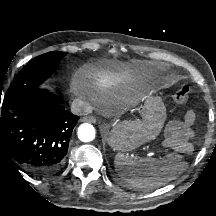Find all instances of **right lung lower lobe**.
Instances as JSON below:
<instances>
[{"mask_svg":"<svg viewBox=\"0 0 216 216\" xmlns=\"http://www.w3.org/2000/svg\"><path fill=\"white\" fill-rule=\"evenodd\" d=\"M78 120L47 90L17 97L2 105L0 156L36 177L55 174L63 166Z\"/></svg>","mask_w":216,"mask_h":216,"instance_id":"right-lung-lower-lobe-1","label":"right lung lower lobe"}]
</instances>
